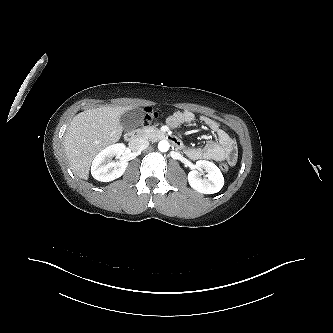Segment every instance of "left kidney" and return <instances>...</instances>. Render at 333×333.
<instances>
[{"label": "left kidney", "instance_id": "obj_1", "mask_svg": "<svg viewBox=\"0 0 333 333\" xmlns=\"http://www.w3.org/2000/svg\"><path fill=\"white\" fill-rule=\"evenodd\" d=\"M196 169L188 174L190 186L199 193L214 194L219 192L224 185V177L220 169L212 162L199 160ZM205 170L207 178L201 177V171Z\"/></svg>", "mask_w": 333, "mask_h": 333}]
</instances>
